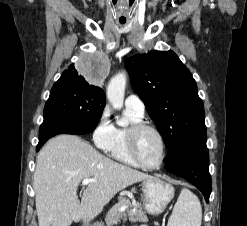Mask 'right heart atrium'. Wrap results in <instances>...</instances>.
Instances as JSON below:
<instances>
[{
    "instance_id": "right-heart-atrium-1",
    "label": "right heart atrium",
    "mask_w": 247,
    "mask_h": 226,
    "mask_svg": "<svg viewBox=\"0 0 247 226\" xmlns=\"http://www.w3.org/2000/svg\"><path fill=\"white\" fill-rule=\"evenodd\" d=\"M113 135V125L109 119V110L105 108L99 118V121L93 131V141L95 145L104 150L111 142Z\"/></svg>"
}]
</instances>
